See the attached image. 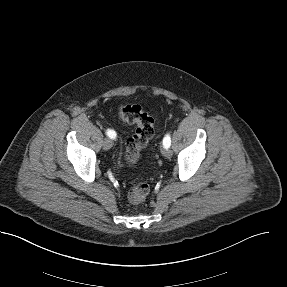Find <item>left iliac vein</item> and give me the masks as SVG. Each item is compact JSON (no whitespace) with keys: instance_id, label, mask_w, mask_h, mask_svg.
<instances>
[{"instance_id":"1","label":"left iliac vein","mask_w":287,"mask_h":287,"mask_svg":"<svg viewBox=\"0 0 287 287\" xmlns=\"http://www.w3.org/2000/svg\"><path fill=\"white\" fill-rule=\"evenodd\" d=\"M162 154L163 156H165L166 158H170L172 156V151L169 148H163L162 149Z\"/></svg>"}]
</instances>
